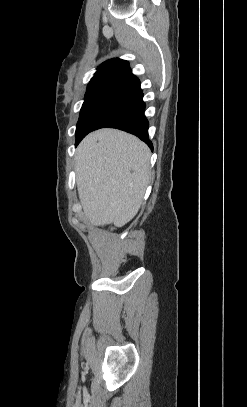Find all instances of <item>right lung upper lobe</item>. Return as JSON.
<instances>
[{
  "mask_svg": "<svg viewBox=\"0 0 247 407\" xmlns=\"http://www.w3.org/2000/svg\"><path fill=\"white\" fill-rule=\"evenodd\" d=\"M112 89L141 92L140 81L132 74L129 63L125 60L110 59L102 63L88 84L85 98Z\"/></svg>",
  "mask_w": 247,
  "mask_h": 407,
  "instance_id": "cb5924a9",
  "label": "right lung upper lobe"
}]
</instances>
